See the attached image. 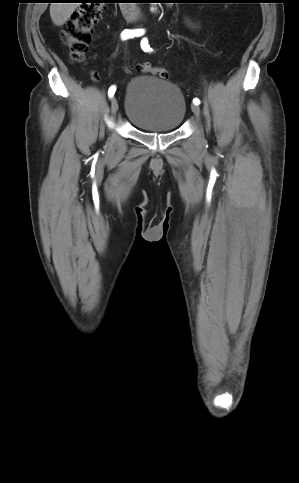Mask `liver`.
Masks as SVG:
<instances>
[{"label":"liver","instance_id":"liver-1","mask_svg":"<svg viewBox=\"0 0 299 483\" xmlns=\"http://www.w3.org/2000/svg\"><path fill=\"white\" fill-rule=\"evenodd\" d=\"M79 3H51L50 16L56 26H62L72 15Z\"/></svg>","mask_w":299,"mask_h":483}]
</instances>
